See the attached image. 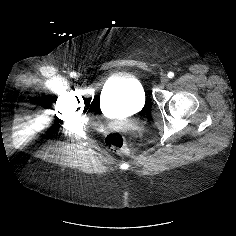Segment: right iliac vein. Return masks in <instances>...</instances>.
Returning a JSON list of instances; mask_svg holds the SVG:
<instances>
[{
  "label": "right iliac vein",
  "instance_id": "obj_1",
  "mask_svg": "<svg viewBox=\"0 0 236 236\" xmlns=\"http://www.w3.org/2000/svg\"><path fill=\"white\" fill-rule=\"evenodd\" d=\"M77 79H78V80H80V81L82 80V78H81L80 76H78V78H77Z\"/></svg>",
  "mask_w": 236,
  "mask_h": 236
}]
</instances>
